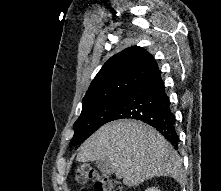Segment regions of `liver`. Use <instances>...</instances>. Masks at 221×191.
<instances>
[{
	"label": "liver",
	"mask_w": 221,
	"mask_h": 191,
	"mask_svg": "<svg viewBox=\"0 0 221 191\" xmlns=\"http://www.w3.org/2000/svg\"><path fill=\"white\" fill-rule=\"evenodd\" d=\"M79 162L107 161L129 187L159 176L182 181V161L170 143L151 126L120 119L99 128L80 147Z\"/></svg>",
	"instance_id": "6515ba94"
}]
</instances>
